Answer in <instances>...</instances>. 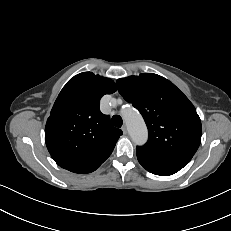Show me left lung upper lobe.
Segmentation results:
<instances>
[{
  "mask_svg": "<svg viewBox=\"0 0 231 231\" xmlns=\"http://www.w3.org/2000/svg\"><path fill=\"white\" fill-rule=\"evenodd\" d=\"M121 96L142 114L149 131L137 158L182 169L201 141V121L188 98L169 80L153 73L117 80Z\"/></svg>",
  "mask_w": 231,
  "mask_h": 231,
  "instance_id": "obj_1",
  "label": "left lung upper lobe"
}]
</instances>
